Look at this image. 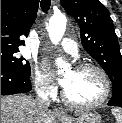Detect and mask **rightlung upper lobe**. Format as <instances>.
Wrapping results in <instances>:
<instances>
[{"mask_svg":"<svg viewBox=\"0 0 122 123\" xmlns=\"http://www.w3.org/2000/svg\"><path fill=\"white\" fill-rule=\"evenodd\" d=\"M39 0H1V49L18 50L25 45L38 11Z\"/></svg>","mask_w":122,"mask_h":123,"instance_id":"obj_1","label":"right lung upper lobe"}]
</instances>
